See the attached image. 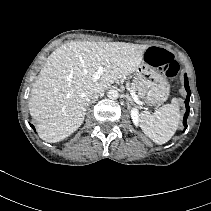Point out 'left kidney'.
<instances>
[{"label": "left kidney", "mask_w": 211, "mask_h": 211, "mask_svg": "<svg viewBox=\"0 0 211 211\" xmlns=\"http://www.w3.org/2000/svg\"><path fill=\"white\" fill-rule=\"evenodd\" d=\"M130 115H131V118H132V121L133 123L138 126L139 125V122H140V118H139V112H138V109L133 107L130 111Z\"/></svg>", "instance_id": "1"}]
</instances>
